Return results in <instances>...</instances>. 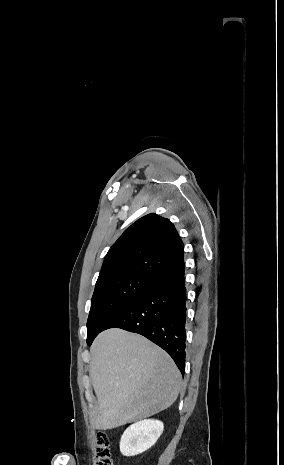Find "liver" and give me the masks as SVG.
Returning a JSON list of instances; mask_svg holds the SVG:
<instances>
[{
	"label": "liver",
	"instance_id": "1",
	"mask_svg": "<svg viewBox=\"0 0 284 465\" xmlns=\"http://www.w3.org/2000/svg\"><path fill=\"white\" fill-rule=\"evenodd\" d=\"M90 353L98 399L94 429L106 431L141 421L175 403L180 371L165 351L141 335L109 329L96 337Z\"/></svg>",
	"mask_w": 284,
	"mask_h": 465
}]
</instances>
